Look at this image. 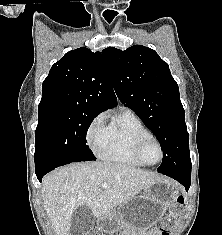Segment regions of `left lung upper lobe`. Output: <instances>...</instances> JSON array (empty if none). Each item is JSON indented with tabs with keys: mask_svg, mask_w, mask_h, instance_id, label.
Segmentation results:
<instances>
[{
	"mask_svg": "<svg viewBox=\"0 0 222 235\" xmlns=\"http://www.w3.org/2000/svg\"><path fill=\"white\" fill-rule=\"evenodd\" d=\"M115 92L155 134L163 150L160 173H191L189 134L179 88L168 64L152 49L134 45L102 51Z\"/></svg>",
	"mask_w": 222,
	"mask_h": 235,
	"instance_id": "1",
	"label": "left lung upper lobe"
}]
</instances>
